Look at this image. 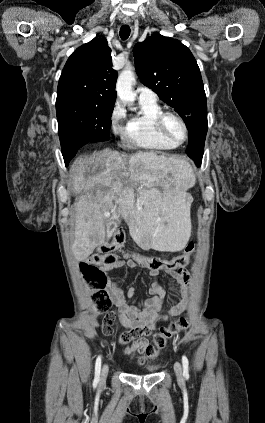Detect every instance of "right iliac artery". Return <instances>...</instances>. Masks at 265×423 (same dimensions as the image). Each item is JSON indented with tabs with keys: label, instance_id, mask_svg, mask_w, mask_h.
<instances>
[{
	"label": "right iliac artery",
	"instance_id": "obj_1",
	"mask_svg": "<svg viewBox=\"0 0 265 423\" xmlns=\"http://www.w3.org/2000/svg\"><path fill=\"white\" fill-rule=\"evenodd\" d=\"M100 371H101V357L98 356L95 363V378H94V385H97L100 380Z\"/></svg>",
	"mask_w": 265,
	"mask_h": 423
}]
</instances>
